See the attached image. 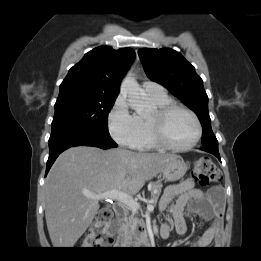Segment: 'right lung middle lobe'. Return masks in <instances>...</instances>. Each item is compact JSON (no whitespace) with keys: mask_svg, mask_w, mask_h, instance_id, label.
Segmentation results:
<instances>
[{"mask_svg":"<svg viewBox=\"0 0 261 261\" xmlns=\"http://www.w3.org/2000/svg\"><path fill=\"white\" fill-rule=\"evenodd\" d=\"M116 98L100 95H59L55 103L51 134L79 129L109 134L107 116Z\"/></svg>","mask_w":261,"mask_h":261,"instance_id":"obj_1","label":"right lung middle lobe"}]
</instances>
